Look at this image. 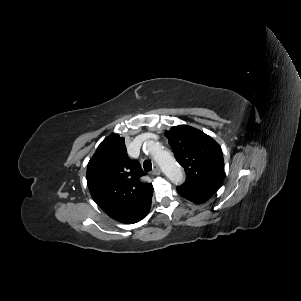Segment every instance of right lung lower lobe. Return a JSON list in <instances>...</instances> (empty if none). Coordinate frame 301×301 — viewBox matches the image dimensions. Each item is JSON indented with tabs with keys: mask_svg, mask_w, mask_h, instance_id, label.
<instances>
[{
	"mask_svg": "<svg viewBox=\"0 0 301 301\" xmlns=\"http://www.w3.org/2000/svg\"><path fill=\"white\" fill-rule=\"evenodd\" d=\"M150 207H151V203H150V205L147 207V209L145 210V212H144L138 219H136L133 223H136V222L142 220V219L147 215V213H148Z\"/></svg>",
	"mask_w": 301,
	"mask_h": 301,
	"instance_id": "obj_1",
	"label": "right lung lower lobe"
}]
</instances>
